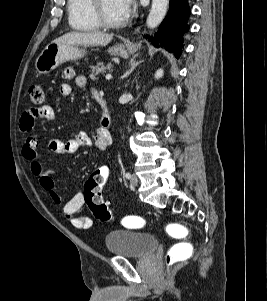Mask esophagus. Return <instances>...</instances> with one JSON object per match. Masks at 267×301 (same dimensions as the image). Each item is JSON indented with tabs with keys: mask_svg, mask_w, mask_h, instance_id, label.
Listing matches in <instances>:
<instances>
[{
	"mask_svg": "<svg viewBox=\"0 0 267 301\" xmlns=\"http://www.w3.org/2000/svg\"><path fill=\"white\" fill-rule=\"evenodd\" d=\"M138 31H139V29L137 28V29L134 30V33H137Z\"/></svg>",
	"mask_w": 267,
	"mask_h": 301,
	"instance_id": "1",
	"label": "esophagus"
}]
</instances>
